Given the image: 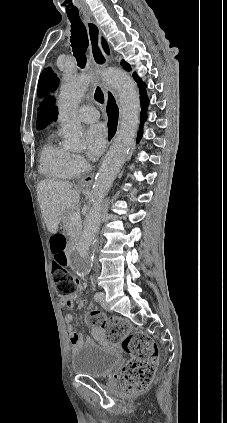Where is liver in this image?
<instances>
[{
    "instance_id": "obj_1",
    "label": "liver",
    "mask_w": 227,
    "mask_h": 423,
    "mask_svg": "<svg viewBox=\"0 0 227 423\" xmlns=\"http://www.w3.org/2000/svg\"><path fill=\"white\" fill-rule=\"evenodd\" d=\"M37 196L48 231L56 233L62 215L72 210L80 200L78 190H74L68 182L42 180L37 186Z\"/></svg>"
}]
</instances>
